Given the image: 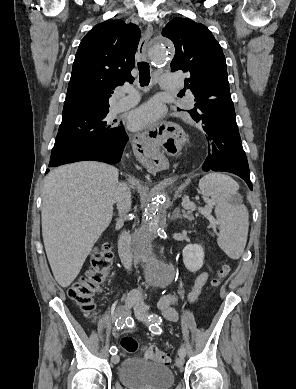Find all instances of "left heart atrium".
I'll return each mask as SVG.
<instances>
[{
  "instance_id": "1",
  "label": "left heart atrium",
  "mask_w": 296,
  "mask_h": 389,
  "mask_svg": "<svg viewBox=\"0 0 296 389\" xmlns=\"http://www.w3.org/2000/svg\"><path fill=\"white\" fill-rule=\"evenodd\" d=\"M162 116V106L155 101H150L130 114L128 124L132 130L137 131L152 125Z\"/></svg>"
}]
</instances>
